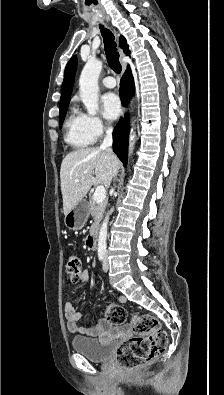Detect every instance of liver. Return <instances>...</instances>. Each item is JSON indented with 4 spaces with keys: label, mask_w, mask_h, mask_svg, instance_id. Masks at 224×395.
I'll list each match as a JSON object with an SVG mask.
<instances>
[{
    "label": "liver",
    "mask_w": 224,
    "mask_h": 395,
    "mask_svg": "<svg viewBox=\"0 0 224 395\" xmlns=\"http://www.w3.org/2000/svg\"><path fill=\"white\" fill-rule=\"evenodd\" d=\"M118 167L117 156L101 147L81 148L68 153L60 169L64 214L72 210L93 185L109 187Z\"/></svg>",
    "instance_id": "liver-1"
}]
</instances>
